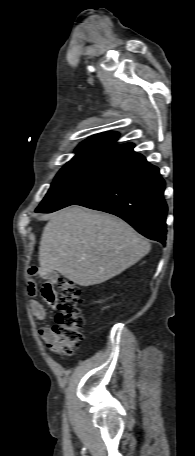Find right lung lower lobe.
Returning <instances> with one entry per match:
<instances>
[{
  "label": "right lung lower lobe",
  "mask_w": 195,
  "mask_h": 456,
  "mask_svg": "<svg viewBox=\"0 0 195 456\" xmlns=\"http://www.w3.org/2000/svg\"><path fill=\"white\" fill-rule=\"evenodd\" d=\"M164 189L159 169L143 159L75 205L114 214L145 237L165 244L167 204ZM36 212L46 211L36 209Z\"/></svg>",
  "instance_id": "98d812e1"
}]
</instances>
